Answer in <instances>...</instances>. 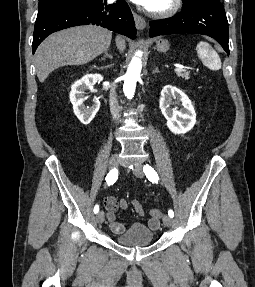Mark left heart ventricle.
Wrapping results in <instances>:
<instances>
[{"label": "left heart ventricle", "mask_w": 255, "mask_h": 287, "mask_svg": "<svg viewBox=\"0 0 255 287\" xmlns=\"http://www.w3.org/2000/svg\"><path fill=\"white\" fill-rule=\"evenodd\" d=\"M149 33H162V32H149ZM146 39H160V38H146ZM137 48H167V47H137Z\"/></svg>", "instance_id": "left-heart-ventricle-1"}]
</instances>
